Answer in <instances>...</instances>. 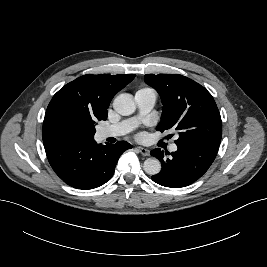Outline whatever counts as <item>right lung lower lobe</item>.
Wrapping results in <instances>:
<instances>
[{
    "mask_svg": "<svg viewBox=\"0 0 267 267\" xmlns=\"http://www.w3.org/2000/svg\"><path fill=\"white\" fill-rule=\"evenodd\" d=\"M43 143L55 173L69 186L84 190L106 183L113 176L121 154L132 148L125 141L102 146L94 138L70 140L47 137Z\"/></svg>",
    "mask_w": 267,
    "mask_h": 267,
    "instance_id": "1",
    "label": "right lung lower lobe"
}]
</instances>
